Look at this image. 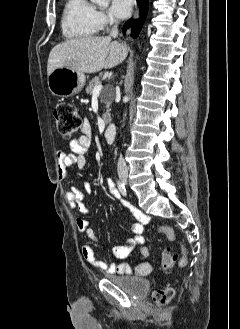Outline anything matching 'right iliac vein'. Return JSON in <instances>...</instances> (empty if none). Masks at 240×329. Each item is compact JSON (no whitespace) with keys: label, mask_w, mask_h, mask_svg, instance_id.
I'll return each instance as SVG.
<instances>
[{"label":"right iliac vein","mask_w":240,"mask_h":329,"mask_svg":"<svg viewBox=\"0 0 240 329\" xmlns=\"http://www.w3.org/2000/svg\"><path fill=\"white\" fill-rule=\"evenodd\" d=\"M121 180H122L125 184L128 183V180H127V178H126L125 176H121Z\"/></svg>","instance_id":"obj_1"}]
</instances>
